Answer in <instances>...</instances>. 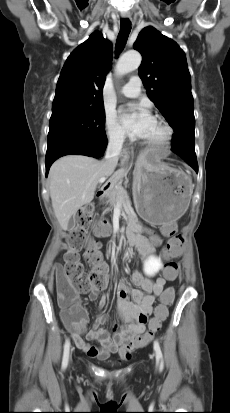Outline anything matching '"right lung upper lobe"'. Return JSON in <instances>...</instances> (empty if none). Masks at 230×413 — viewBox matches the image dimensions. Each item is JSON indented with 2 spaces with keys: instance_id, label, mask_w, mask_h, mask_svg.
<instances>
[{
  "instance_id": "right-lung-upper-lobe-1",
  "label": "right lung upper lobe",
  "mask_w": 230,
  "mask_h": 413,
  "mask_svg": "<svg viewBox=\"0 0 230 413\" xmlns=\"http://www.w3.org/2000/svg\"><path fill=\"white\" fill-rule=\"evenodd\" d=\"M112 66V45L99 31L67 58L56 86L52 112L104 107L102 89Z\"/></svg>"
}]
</instances>
